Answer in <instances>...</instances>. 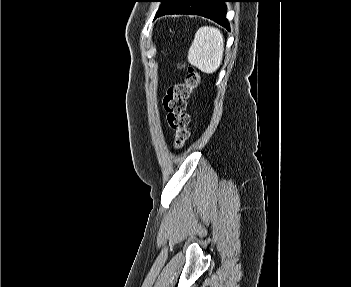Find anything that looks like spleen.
Returning <instances> with one entry per match:
<instances>
[{
  "label": "spleen",
  "mask_w": 351,
  "mask_h": 287,
  "mask_svg": "<svg viewBox=\"0 0 351 287\" xmlns=\"http://www.w3.org/2000/svg\"><path fill=\"white\" fill-rule=\"evenodd\" d=\"M224 39L219 29L204 26L198 29L188 51V62L202 72L214 73L221 65Z\"/></svg>",
  "instance_id": "obj_1"
}]
</instances>
